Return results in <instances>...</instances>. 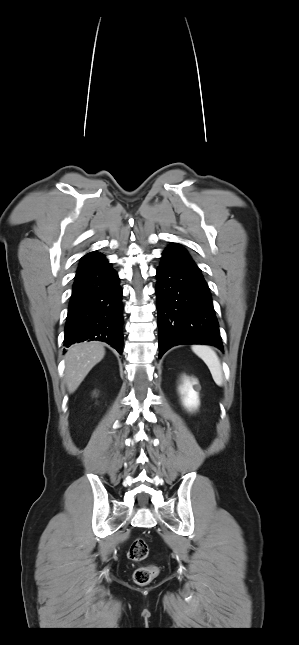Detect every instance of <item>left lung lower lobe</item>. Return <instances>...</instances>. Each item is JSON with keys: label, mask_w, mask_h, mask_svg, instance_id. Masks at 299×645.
Segmentation results:
<instances>
[{"label": "left lung lower lobe", "mask_w": 299, "mask_h": 645, "mask_svg": "<svg viewBox=\"0 0 299 645\" xmlns=\"http://www.w3.org/2000/svg\"><path fill=\"white\" fill-rule=\"evenodd\" d=\"M156 276L159 358L182 344L223 349L209 287L189 253L179 244H170Z\"/></svg>", "instance_id": "obj_1"}]
</instances>
